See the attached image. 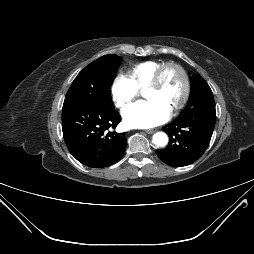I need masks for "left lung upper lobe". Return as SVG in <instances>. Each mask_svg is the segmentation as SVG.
Returning <instances> with one entry per match:
<instances>
[{"instance_id":"left-lung-upper-lobe-1","label":"left lung upper lobe","mask_w":254,"mask_h":254,"mask_svg":"<svg viewBox=\"0 0 254 254\" xmlns=\"http://www.w3.org/2000/svg\"><path fill=\"white\" fill-rule=\"evenodd\" d=\"M191 92L188 106H215L213 93L207 82L199 75L190 76Z\"/></svg>"}]
</instances>
